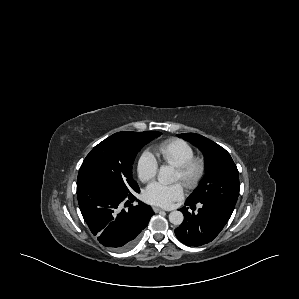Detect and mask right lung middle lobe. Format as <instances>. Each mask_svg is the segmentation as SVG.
<instances>
[{
    "instance_id": "1",
    "label": "right lung middle lobe",
    "mask_w": 299,
    "mask_h": 299,
    "mask_svg": "<svg viewBox=\"0 0 299 299\" xmlns=\"http://www.w3.org/2000/svg\"><path fill=\"white\" fill-rule=\"evenodd\" d=\"M162 133L140 132L133 139L115 133L96 145L84 159L77 183L85 179L102 180L124 192L139 190L132 178V164L136 154L148 142Z\"/></svg>"
}]
</instances>
